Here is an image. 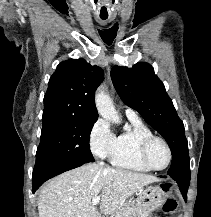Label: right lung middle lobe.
Here are the masks:
<instances>
[{
	"mask_svg": "<svg viewBox=\"0 0 211 217\" xmlns=\"http://www.w3.org/2000/svg\"><path fill=\"white\" fill-rule=\"evenodd\" d=\"M96 120L75 117L43 119L36 164L49 161L94 162L89 138Z\"/></svg>",
	"mask_w": 211,
	"mask_h": 217,
	"instance_id": "dd1d6c3e",
	"label": "right lung middle lobe"
}]
</instances>
